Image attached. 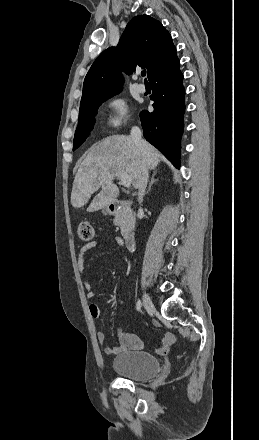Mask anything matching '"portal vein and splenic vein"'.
<instances>
[{
    "label": "portal vein and splenic vein",
    "instance_id": "obj_1",
    "mask_svg": "<svg viewBox=\"0 0 259 440\" xmlns=\"http://www.w3.org/2000/svg\"><path fill=\"white\" fill-rule=\"evenodd\" d=\"M117 177L120 179V181L125 187L129 188L131 186L132 177L127 173H119Z\"/></svg>",
    "mask_w": 259,
    "mask_h": 440
}]
</instances>
